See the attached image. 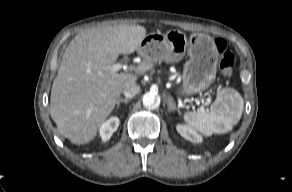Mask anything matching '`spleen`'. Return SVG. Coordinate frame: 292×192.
<instances>
[{"instance_id": "spleen-1", "label": "spleen", "mask_w": 292, "mask_h": 192, "mask_svg": "<svg viewBox=\"0 0 292 192\" xmlns=\"http://www.w3.org/2000/svg\"><path fill=\"white\" fill-rule=\"evenodd\" d=\"M244 101L238 91L223 89L217 94L209 112H186L187 125L204 136L224 134L232 130L242 116Z\"/></svg>"}]
</instances>
